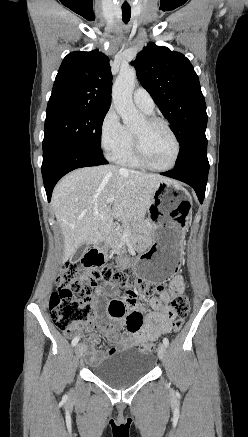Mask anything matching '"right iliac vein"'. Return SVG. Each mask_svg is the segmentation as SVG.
<instances>
[{
  "label": "right iliac vein",
  "mask_w": 248,
  "mask_h": 437,
  "mask_svg": "<svg viewBox=\"0 0 248 437\" xmlns=\"http://www.w3.org/2000/svg\"><path fill=\"white\" fill-rule=\"evenodd\" d=\"M85 351V346L83 344H78L75 347V353L78 358H80Z\"/></svg>",
  "instance_id": "right-iliac-vein-1"
}]
</instances>
